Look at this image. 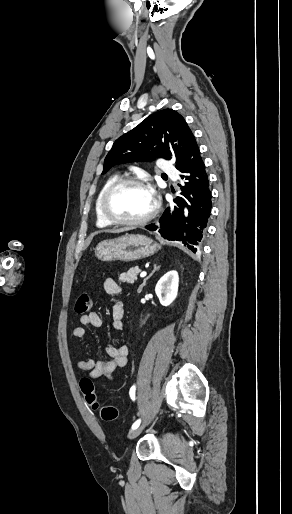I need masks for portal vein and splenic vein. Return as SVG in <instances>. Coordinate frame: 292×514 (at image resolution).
Returning a JSON list of instances; mask_svg holds the SVG:
<instances>
[{
    "instance_id": "portal-vein-and-splenic-vein-1",
    "label": "portal vein and splenic vein",
    "mask_w": 292,
    "mask_h": 514,
    "mask_svg": "<svg viewBox=\"0 0 292 514\" xmlns=\"http://www.w3.org/2000/svg\"><path fill=\"white\" fill-rule=\"evenodd\" d=\"M147 272H142V274H140V278H144V276H146Z\"/></svg>"
}]
</instances>
